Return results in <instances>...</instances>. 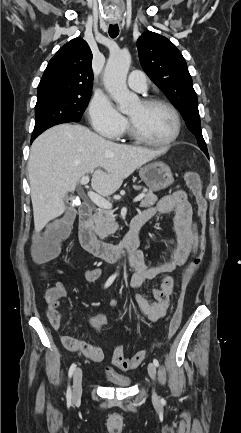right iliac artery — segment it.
<instances>
[{"label":"right iliac artery","mask_w":241,"mask_h":433,"mask_svg":"<svg viewBox=\"0 0 241 433\" xmlns=\"http://www.w3.org/2000/svg\"><path fill=\"white\" fill-rule=\"evenodd\" d=\"M114 280H115V276L114 275L110 276L109 279L107 280V282L105 283V287L110 286L113 283ZM75 368H76V364L73 363L70 366V369H69V372H68L69 378L72 377V375H73V373L75 371ZM71 398H72L71 388H70V386H68L67 393H66V399H67L68 402H70Z\"/></svg>","instance_id":"right-iliac-artery-1"}]
</instances>
